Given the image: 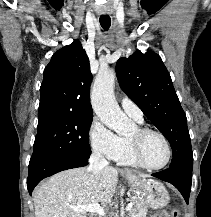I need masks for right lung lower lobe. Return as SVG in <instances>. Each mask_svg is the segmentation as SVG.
Listing matches in <instances>:
<instances>
[{"instance_id":"right-lung-lower-lobe-1","label":"right lung lower lobe","mask_w":211,"mask_h":217,"mask_svg":"<svg viewBox=\"0 0 211 217\" xmlns=\"http://www.w3.org/2000/svg\"><path fill=\"white\" fill-rule=\"evenodd\" d=\"M88 158L67 153L44 151L33 153L29 163L27 188L31 195L34 187L44 178L60 171L86 166Z\"/></svg>"}]
</instances>
